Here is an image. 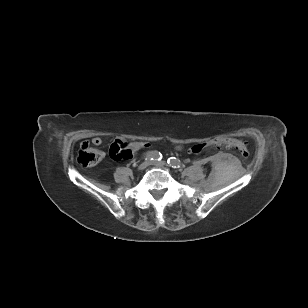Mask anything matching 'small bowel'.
I'll return each instance as SVG.
<instances>
[{"label": "small bowel", "instance_id": "small-bowel-1", "mask_svg": "<svg viewBox=\"0 0 308 308\" xmlns=\"http://www.w3.org/2000/svg\"><path fill=\"white\" fill-rule=\"evenodd\" d=\"M92 144L95 145V146H100L102 144V139L100 137H94L92 139ZM114 144H115V142H114ZM141 148H143V147H141ZM181 148L182 147L180 145L176 146V149H178V150H180Z\"/></svg>", "mask_w": 308, "mask_h": 308}]
</instances>
